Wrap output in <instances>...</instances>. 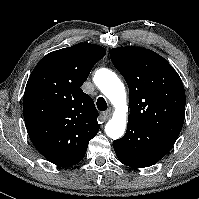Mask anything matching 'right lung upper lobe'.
<instances>
[{
	"instance_id": "right-lung-upper-lobe-1",
	"label": "right lung upper lobe",
	"mask_w": 199,
	"mask_h": 199,
	"mask_svg": "<svg viewBox=\"0 0 199 199\" xmlns=\"http://www.w3.org/2000/svg\"><path fill=\"white\" fill-rule=\"evenodd\" d=\"M105 53L90 43L53 51L28 79L23 98L26 129L37 150L57 166L79 163L99 131L98 111L80 87Z\"/></svg>"
}]
</instances>
